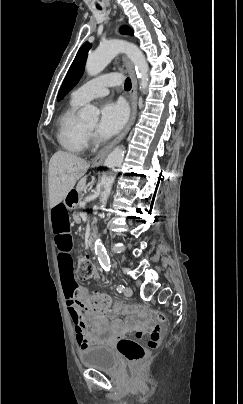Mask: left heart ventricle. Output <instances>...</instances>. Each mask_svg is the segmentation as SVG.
I'll list each match as a JSON object with an SVG mask.
<instances>
[{"label": "left heart ventricle", "instance_id": "b2bd125f", "mask_svg": "<svg viewBox=\"0 0 243 404\" xmlns=\"http://www.w3.org/2000/svg\"><path fill=\"white\" fill-rule=\"evenodd\" d=\"M88 129L93 130L95 128L96 122H90L84 124Z\"/></svg>", "mask_w": 243, "mask_h": 404}]
</instances>
